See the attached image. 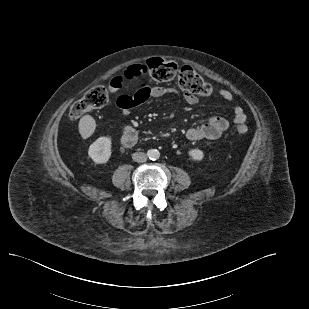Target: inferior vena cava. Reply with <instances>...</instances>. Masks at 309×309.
<instances>
[{
	"label": "inferior vena cava",
	"instance_id": "inferior-vena-cava-1",
	"mask_svg": "<svg viewBox=\"0 0 309 309\" xmlns=\"http://www.w3.org/2000/svg\"><path fill=\"white\" fill-rule=\"evenodd\" d=\"M132 159L135 162L138 163H143L147 161V154L143 153V152H136L132 155Z\"/></svg>",
	"mask_w": 309,
	"mask_h": 309
}]
</instances>
